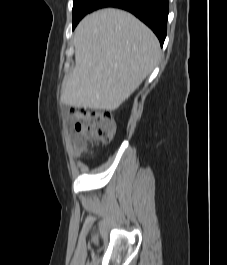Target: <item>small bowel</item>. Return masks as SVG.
<instances>
[{"label": "small bowel", "instance_id": "obj_1", "mask_svg": "<svg viewBox=\"0 0 227 265\" xmlns=\"http://www.w3.org/2000/svg\"><path fill=\"white\" fill-rule=\"evenodd\" d=\"M83 151V148H81L76 142L74 144V153L80 154Z\"/></svg>", "mask_w": 227, "mask_h": 265}]
</instances>
